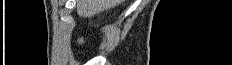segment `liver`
Wrapping results in <instances>:
<instances>
[{"instance_id":"6515ba94","label":"liver","mask_w":232,"mask_h":65,"mask_svg":"<svg viewBox=\"0 0 232 65\" xmlns=\"http://www.w3.org/2000/svg\"><path fill=\"white\" fill-rule=\"evenodd\" d=\"M77 14L81 17H90L104 10L121 4L124 0H75Z\"/></svg>"}]
</instances>
